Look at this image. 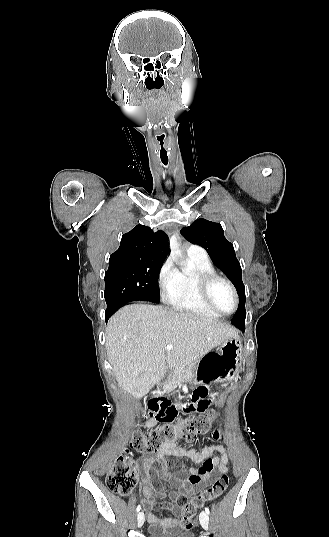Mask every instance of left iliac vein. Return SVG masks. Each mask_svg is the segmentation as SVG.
Listing matches in <instances>:
<instances>
[{
    "label": "left iliac vein",
    "mask_w": 329,
    "mask_h": 537,
    "mask_svg": "<svg viewBox=\"0 0 329 537\" xmlns=\"http://www.w3.org/2000/svg\"><path fill=\"white\" fill-rule=\"evenodd\" d=\"M200 523H201V526L205 529V530H208L209 528V516L206 512H202L200 514Z\"/></svg>",
    "instance_id": "4c4485c4"
}]
</instances>
